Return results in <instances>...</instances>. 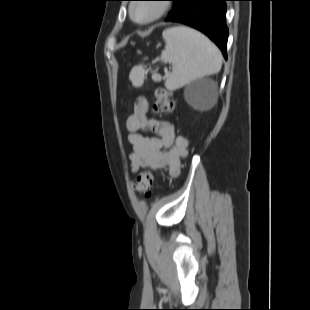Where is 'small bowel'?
Instances as JSON below:
<instances>
[{
  "mask_svg": "<svg viewBox=\"0 0 310 310\" xmlns=\"http://www.w3.org/2000/svg\"><path fill=\"white\" fill-rule=\"evenodd\" d=\"M148 109L147 97L140 95L127 119L128 140L132 146L129 157L131 171L136 173L141 168H149L166 170L170 175L177 176L187 155L188 139L177 135L170 122L149 117ZM145 132L156 136H146L143 134Z\"/></svg>",
  "mask_w": 310,
  "mask_h": 310,
  "instance_id": "obj_1",
  "label": "small bowel"
}]
</instances>
